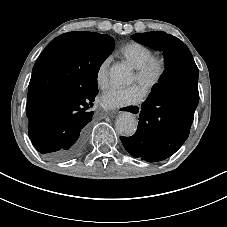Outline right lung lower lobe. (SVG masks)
<instances>
[{
  "label": "right lung lower lobe",
  "instance_id": "98d812e1",
  "mask_svg": "<svg viewBox=\"0 0 227 227\" xmlns=\"http://www.w3.org/2000/svg\"><path fill=\"white\" fill-rule=\"evenodd\" d=\"M98 93V92H97ZM97 93L61 96L47 108L38 123H29L28 133L35 148L54 161L76 157L83 149Z\"/></svg>",
  "mask_w": 227,
  "mask_h": 227
}]
</instances>
